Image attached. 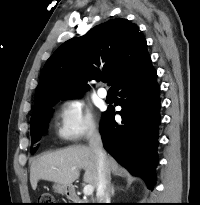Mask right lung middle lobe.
<instances>
[{
	"instance_id": "obj_1",
	"label": "right lung middle lobe",
	"mask_w": 200,
	"mask_h": 205,
	"mask_svg": "<svg viewBox=\"0 0 200 205\" xmlns=\"http://www.w3.org/2000/svg\"><path fill=\"white\" fill-rule=\"evenodd\" d=\"M59 99H53L45 102L39 109L37 115L31 119V141L36 143L41 135L46 131L51 107L54 106ZM37 147L31 148V153L36 151Z\"/></svg>"
}]
</instances>
